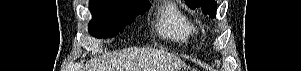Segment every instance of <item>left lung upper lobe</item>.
Listing matches in <instances>:
<instances>
[{
  "label": "left lung upper lobe",
  "instance_id": "5c2ea615",
  "mask_svg": "<svg viewBox=\"0 0 301 71\" xmlns=\"http://www.w3.org/2000/svg\"><path fill=\"white\" fill-rule=\"evenodd\" d=\"M185 3L191 9L201 8L205 15L216 16L217 3L215 0H185Z\"/></svg>",
  "mask_w": 301,
  "mask_h": 71
}]
</instances>
